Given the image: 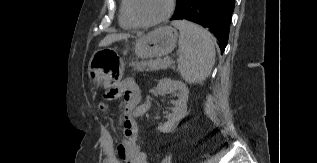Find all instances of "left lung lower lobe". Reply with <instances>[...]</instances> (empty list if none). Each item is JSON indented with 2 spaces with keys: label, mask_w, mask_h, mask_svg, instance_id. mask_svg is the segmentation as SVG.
Here are the masks:
<instances>
[{
  "label": "left lung lower lobe",
  "mask_w": 317,
  "mask_h": 163,
  "mask_svg": "<svg viewBox=\"0 0 317 163\" xmlns=\"http://www.w3.org/2000/svg\"><path fill=\"white\" fill-rule=\"evenodd\" d=\"M234 4L235 0H178L171 20L187 19L205 27L218 39L223 52Z\"/></svg>",
  "instance_id": "left-lung-lower-lobe-1"
}]
</instances>
